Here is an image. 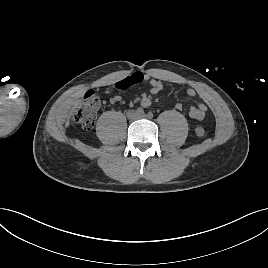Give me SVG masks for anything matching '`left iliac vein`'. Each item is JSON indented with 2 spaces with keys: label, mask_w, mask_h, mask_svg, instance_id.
<instances>
[{
  "label": "left iliac vein",
  "mask_w": 268,
  "mask_h": 268,
  "mask_svg": "<svg viewBox=\"0 0 268 268\" xmlns=\"http://www.w3.org/2000/svg\"><path fill=\"white\" fill-rule=\"evenodd\" d=\"M138 118H147V115H145V114H140V115H138Z\"/></svg>",
  "instance_id": "left-iliac-vein-1"
}]
</instances>
